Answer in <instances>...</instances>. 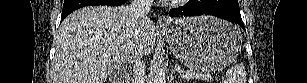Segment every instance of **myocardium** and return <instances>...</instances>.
<instances>
[{
    "label": "myocardium",
    "instance_id": "1",
    "mask_svg": "<svg viewBox=\"0 0 307 83\" xmlns=\"http://www.w3.org/2000/svg\"><path fill=\"white\" fill-rule=\"evenodd\" d=\"M187 0H175L173 1L174 3H183V2H186Z\"/></svg>",
    "mask_w": 307,
    "mask_h": 83
}]
</instances>
